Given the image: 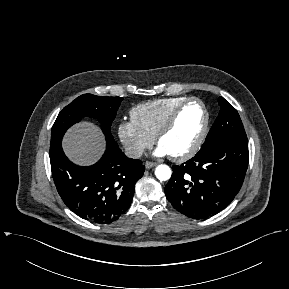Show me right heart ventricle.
Returning <instances> with one entry per match:
<instances>
[{
    "mask_svg": "<svg viewBox=\"0 0 289 289\" xmlns=\"http://www.w3.org/2000/svg\"><path fill=\"white\" fill-rule=\"evenodd\" d=\"M187 97L176 96L152 100L132 108V120L147 134L156 137L174 109Z\"/></svg>",
    "mask_w": 289,
    "mask_h": 289,
    "instance_id": "right-heart-ventricle-1",
    "label": "right heart ventricle"
}]
</instances>
